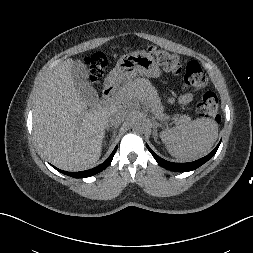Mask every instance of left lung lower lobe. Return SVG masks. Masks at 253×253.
Instances as JSON below:
<instances>
[{
	"label": "left lung lower lobe",
	"instance_id": "left-lung-lower-lobe-1",
	"mask_svg": "<svg viewBox=\"0 0 253 253\" xmlns=\"http://www.w3.org/2000/svg\"><path fill=\"white\" fill-rule=\"evenodd\" d=\"M221 141L219 142V144L215 147V149L210 152L207 156L193 161V162H189V163H173V162H169L166 161L162 158H160L159 156H157L151 149L150 147L146 144V147L148 148V150L151 152V154L153 155V157L155 158V160L158 162L159 165H161L162 167L172 170V171H178V172H188V171H192L195 170L196 168L200 167L201 165H203L205 162H207L210 158H212V156L216 153L219 145H220Z\"/></svg>",
	"mask_w": 253,
	"mask_h": 253
}]
</instances>
